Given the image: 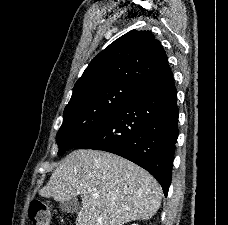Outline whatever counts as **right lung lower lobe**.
Returning a JSON list of instances; mask_svg holds the SVG:
<instances>
[{"label": "right lung lower lobe", "mask_w": 228, "mask_h": 225, "mask_svg": "<svg viewBox=\"0 0 228 225\" xmlns=\"http://www.w3.org/2000/svg\"><path fill=\"white\" fill-rule=\"evenodd\" d=\"M177 90L167 65L71 148L122 156L149 171L167 196L178 137Z\"/></svg>", "instance_id": "1"}]
</instances>
